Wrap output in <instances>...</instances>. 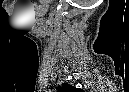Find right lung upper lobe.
<instances>
[{
	"mask_svg": "<svg viewBox=\"0 0 129 92\" xmlns=\"http://www.w3.org/2000/svg\"><path fill=\"white\" fill-rule=\"evenodd\" d=\"M59 91H70V92H76V91H78V89L77 88H75V87H73V86H71V85H69V84H62V86L59 88Z\"/></svg>",
	"mask_w": 129,
	"mask_h": 92,
	"instance_id": "1",
	"label": "right lung upper lobe"
}]
</instances>
